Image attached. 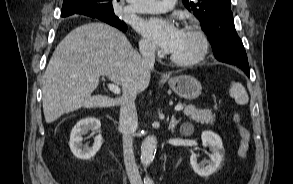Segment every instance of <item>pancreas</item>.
I'll return each instance as SVG.
<instances>
[{
	"instance_id": "pancreas-1",
	"label": "pancreas",
	"mask_w": 293,
	"mask_h": 184,
	"mask_svg": "<svg viewBox=\"0 0 293 184\" xmlns=\"http://www.w3.org/2000/svg\"><path fill=\"white\" fill-rule=\"evenodd\" d=\"M181 105V103H179ZM184 115L188 116L190 119L197 123L209 124L215 121V115L209 109H198L194 105L184 104Z\"/></svg>"
}]
</instances>
